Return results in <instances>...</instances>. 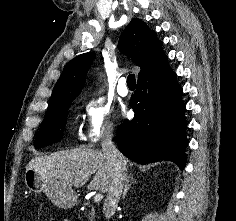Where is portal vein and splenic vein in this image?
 I'll return each instance as SVG.
<instances>
[{"instance_id": "18ae733b", "label": "portal vein and splenic vein", "mask_w": 236, "mask_h": 221, "mask_svg": "<svg viewBox=\"0 0 236 221\" xmlns=\"http://www.w3.org/2000/svg\"><path fill=\"white\" fill-rule=\"evenodd\" d=\"M102 198H103V195L98 193L94 196L93 200H94L95 203H98L102 200Z\"/></svg>"}]
</instances>
